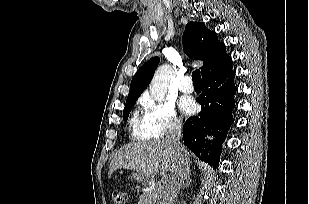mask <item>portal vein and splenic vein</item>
<instances>
[{
	"instance_id": "obj_1",
	"label": "portal vein and splenic vein",
	"mask_w": 309,
	"mask_h": 204,
	"mask_svg": "<svg viewBox=\"0 0 309 204\" xmlns=\"http://www.w3.org/2000/svg\"><path fill=\"white\" fill-rule=\"evenodd\" d=\"M167 181H168L167 177H163V178H162V182H163V183H166Z\"/></svg>"
}]
</instances>
